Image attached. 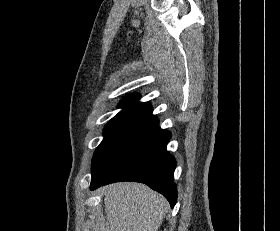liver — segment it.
Returning a JSON list of instances; mask_svg holds the SVG:
<instances>
[{"label":"liver","instance_id":"6515ba94","mask_svg":"<svg viewBox=\"0 0 280 231\" xmlns=\"http://www.w3.org/2000/svg\"><path fill=\"white\" fill-rule=\"evenodd\" d=\"M167 205L163 195L144 183H113L105 191L107 219L103 225L95 219L94 231H157Z\"/></svg>","mask_w":280,"mask_h":231}]
</instances>
